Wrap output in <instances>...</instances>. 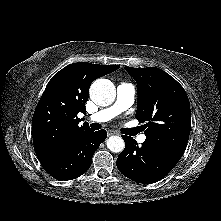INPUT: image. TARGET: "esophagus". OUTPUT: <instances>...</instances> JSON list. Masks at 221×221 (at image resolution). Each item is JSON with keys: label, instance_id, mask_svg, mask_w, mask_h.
Returning a JSON list of instances; mask_svg holds the SVG:
<instances>
[{"label": "esophagus", "instance_id": "esophagus-1", "mask_svg": "<svg viewBox=\"0 0 221 221\" xmlns=\"http://www.w3.org/2000/svg\"><path fill=\"white\" fill-rule=\"evenodd\" d=\"M107 134H108V136H111V135L117 134V132H115V131H113V130H108V131H107Z\"/></svg>", "mask_w": 221, "mask_h": 221}]
</instances>
